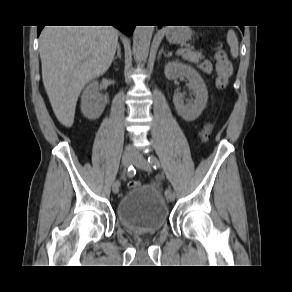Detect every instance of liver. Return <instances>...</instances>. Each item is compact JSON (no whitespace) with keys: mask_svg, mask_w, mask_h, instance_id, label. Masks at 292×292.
Masks as SVG:
<instances>
[{"mask_svg":"<svg viewBox=\"0 0 292 292\" xmlns=\"http://www.w3.org/2000/svg\"><path fill=\"white\" fill-rule=\"evenodd\" d=\"M118 45L113 26H46L39 37L42 79L58 121L71 127L81 90L110 67Z\"/></svg>","mask_w":292,"mask_h":292,"instance_id":"6515ba94","label":"liver"}]
</instances>
